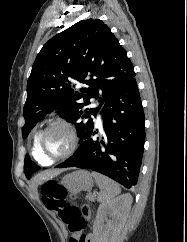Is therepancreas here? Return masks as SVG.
<instances>
[{
    "mask_svg": "<svg viewBox=\"0 0 187 242\" xmlns=\"http://www.w3.org/2000/svg\"><path fill=\"white\" fill-rule=\"evenodd\" d=\"M87 199H88L89 201L94 202V201H95V196H94V195H87Z\"/></svg>",
    "mask_w": 187,
    "mask_h": 242,
    "instance_id": "cf45deb5",
    "label": "pancreas"
}]
</instances>
